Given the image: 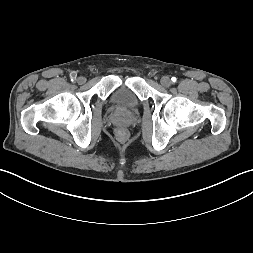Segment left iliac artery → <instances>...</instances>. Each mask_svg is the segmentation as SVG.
I'll list each match as a JSON object with an SVG mask.
<instances>
[{"label": "left iliac artery", "instance_id": "1", "mask_svg": "<svg viewBox=\"0 0 253 253\" xmlns=\"http://www.w3.org/2000/svg\"><path fill=\"white\" fill-rule=\"evenodd\" d=\"M172 82H176V77L171 78Z\"/></svg>", "mask_w": 253, "mask_h": 253}]
</instances>
